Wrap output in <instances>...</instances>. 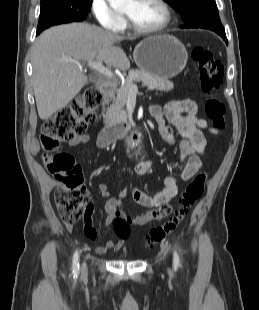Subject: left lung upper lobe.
<instances>
[{
    "label": "left lung upper lobe",
    "instance_id": "5c2ea615",
    "mask_svg": "<svg viewBox=\"0 0 259 310\" xmlns=\"http://www.w3.org/2000/svg\"><path fill=\"white\" fill-rule=\"evenodd\" d=\"M169 3L182 19L186 27L206 28L214 32H225L219 18L218 8L214 0H164Z\"/></svg>",
    "mask_w": 259,
    "mask_h": 310
}]
</instances>
